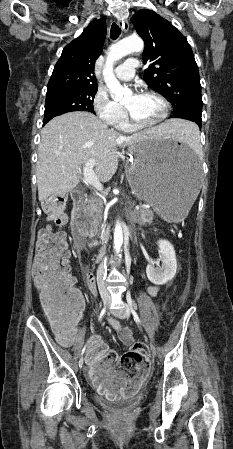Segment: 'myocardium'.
Returning <instances> with one entry per match:
<instances>
[{
  "mask_svg": "<svg viewBox=\"0 0 233 449\" xmlns=\"http://www.w3.org/2000/svg\"><path fill=\"white\" fill-rule=\"evenodd\" d=\"M140 94L155 97L162 105V108H163L162 114L155 121L140 122L133 116V114L130 112V110L125 106L126 115L129 119L130 123L136 128H153L155 126L160 125L167 118V116L169 114L170 105H169L168 101L161 94H159L158 92H155L153 90H144Z\"/></svg>",
  "mask_w": 233,
  "mask_h": 449,
  "instance_id": "obj_1",
  "label": "myocardium"
}]
</instances>
